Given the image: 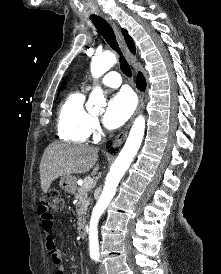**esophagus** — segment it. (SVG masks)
Here are the masks:
<instances>
[{
  "mask_svg": "<svg viewBox=\"0 0 221 274\" xmlns=\"http://www.w3.org/2000/svg\"><path fill=\"white\" fill-rule=\"evenodd\" d=\"M107 21L112 25L114 32L116 34V38L118 40V43L120 45V47L122 48L126 59L128 60L129 63H133L134 61V57L131 54L130 50L128 49L126 42L124 40V37L119 29V27L117 26V24L111 19L106 17ZM138 97H139V103H138V107L136 109V112L134 113L133 117L130 119V121L128 122V124L124 127V129L117 135V137L115 138L114 142H113V146L114 147H119L121 146V144L124 142V140L127 137L128 131L136 117V115L140 112L141 108L143 107L144 104V95L143 92L138 91Z\"/></svg>",
  "mask_w": 221,
  "mask_h": 274,
  "instance_id": "34e87169",
  "label": "esophagus"
}]
</instances>
